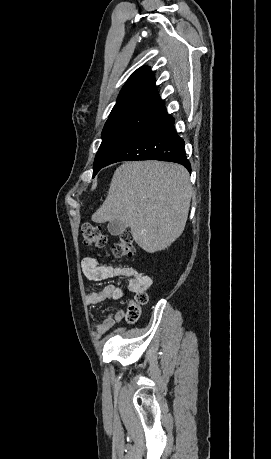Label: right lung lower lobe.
Masks as SVG:
<instances>
[{"label": "right lung lower lobe", "mask_w": 271, "mask_h": 459, "mask_svg": "<svg viewBox=\"0 0 271 459\" xmlns=\"http://www.w3.org/2000/svg\"><path fill=\"white\" fill-rule=\"evenodd\" d=\"M135 160L175 162L191 171L184 150V141L176 134L174 118L166 111L158 114L128 139L110 157L105 166L119 161Z\"/></svg>", "instance_id": "right-lung-lower-lobe-1"}]
</instances>
